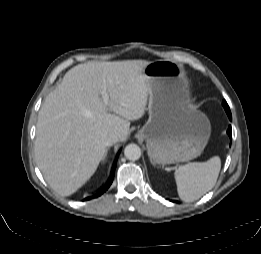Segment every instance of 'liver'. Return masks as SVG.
<instances>
[{
    "label": "liver",
    "instance_id": "1",
    "mask_svg": "<svg viewBox=\"0 0 261 254\" xmlns=\"http://www.w3.org/2000/svg\"><path fill=\"white\" fill-rule=\"evenodd\" d=\"M149 63L79 64L48 94L38 114L35 159L56 193L70 196L82 187L104 158L105 138L117 133L118 141L126 140L130 121L145 114L150 88L143 68Z\"/></svg>",
    "mask_w": 261,
    "mask_h": 254
}]
</instances>
